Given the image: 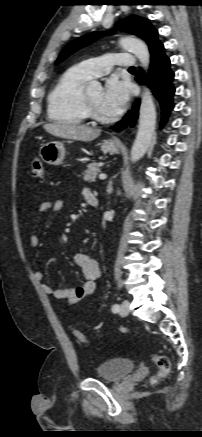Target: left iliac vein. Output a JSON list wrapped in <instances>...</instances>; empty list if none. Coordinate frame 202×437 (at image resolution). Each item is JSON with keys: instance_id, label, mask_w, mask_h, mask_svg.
<instances>
[{"instance_id": "obj_1", "label": "left iliac vein", "mask_w": 202, "mask_h": 437, "mask_svg": "<svg viewBox=\"0 0 202 437\" xmlns=\"http://www.w3.org/2000/svg\"><path fill=\"white\" fill-rule=\"evenodd\" d=\"M129 305H130V303H129L128 300H124V301L122 302V304H121V308H120V315H121V316H126V315L129 314V311H130V309H129Z\"/></svg>"}]
</instances>
